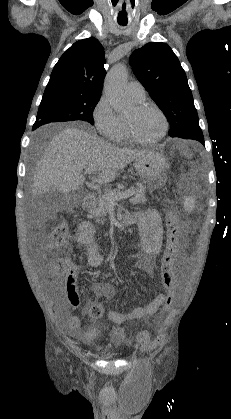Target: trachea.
<instances>
[{
  "label": "trachea",
  "instance_id": "1",
  "mask_svg": "<svg viewBox=\"0 0 231 419\" xmlns=\"http://www.w3.org/2000/svg\"><path fill=\"white\" fill-rule=\"evenodd\" d=\"M119 23V25H121V26H125V25H127V23H124V22H118Z\"/></svg>",
  "mask_w": 231,
  "mask_h": 419
}]
</instances>
